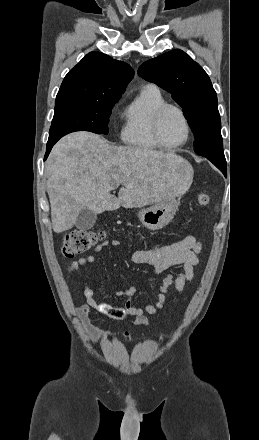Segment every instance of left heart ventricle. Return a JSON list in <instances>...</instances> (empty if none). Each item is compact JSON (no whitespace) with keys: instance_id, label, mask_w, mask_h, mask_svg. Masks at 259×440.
Listing matches in <instances>:
<instances>
[{"instance_id":"1","label":"left heart ventricle","mask_w":259,"mask_h":440,"mask_svg":"<svg viewBox=\"0 0 259 440\" xmlns=\"http://www.w3.org/2000/svg\"><path fill=\"white\" fill-rule=\"evenodd\" d=\"M160 133L163 141L168 145L182 142L186 136V128L180 115L175 110L166 112L162 119Z\"/></svg>"}]
</instances>
